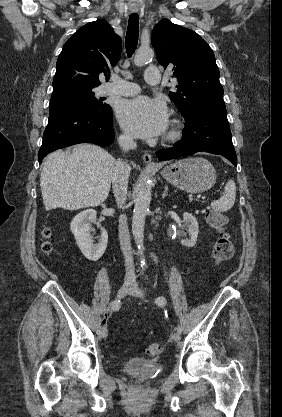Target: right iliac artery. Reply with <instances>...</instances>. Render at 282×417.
Masks as SVG:
<instances>
[{
    "mask_svg": "<svg viewBox=\"0 0 282 417\" xmlns=\"http://www.w3.org/2000/svg\"><path fill=\"white\" fill-rule=\"evenodd\" d=\"M121 307V301L116 299L110 303L109 310L111 311H118Z\"/></svg>",
    "mask_w": 282,
    "mask_h": 417,
    "instance_id": "right-iliac-artery-1",
    "label": "right iliac artery"
}]
</instances>
